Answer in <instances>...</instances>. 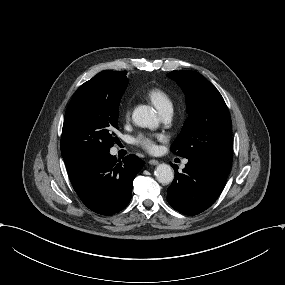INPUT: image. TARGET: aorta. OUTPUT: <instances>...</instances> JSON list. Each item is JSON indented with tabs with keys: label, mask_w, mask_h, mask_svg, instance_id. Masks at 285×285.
<instances>
[{
	"label": "aorta",
	"mask_w": 285,
	"mask_h": 285,
	"mask_svg": "<svg viewBox=\"0 0 285 285\" xmlns=\"http://www.w3.org/2000/svg\"><path fill=\"white\" fill-rule=\"evenodd\" d=\"M132 119L140 127L156 128L159 124L156 111L147 105L138 106L133 111ZM155 176L158 182L169 184L174 179V172L170 165L159 164L155 170Z\"/></svg>",
	"instance_id": "762f6f07"
}]
</instances>
